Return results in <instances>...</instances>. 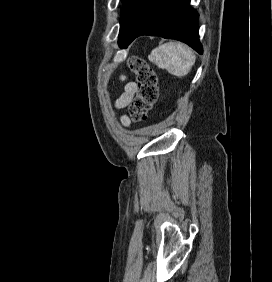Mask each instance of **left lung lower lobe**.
Here are the masks:
<instances>
[{
  "label": "left lung lower lobe",
  "mask_w": 272,
  "mask_h": 282,
  "mask_svg": "<svg viewBox=\"0 0 272 282\" xmlns=\"http://www.w3.org/2000/svg\"><path fill=\"white\" fill-rule=\"evenodd\" d=\"M190 0H125L121 9L119 46L126 48L141 35L180 40L203 53L198 13Z\"/></svg>",
  "instance_id": "left-lung-lower-lobe-1"
}]
</instances>
